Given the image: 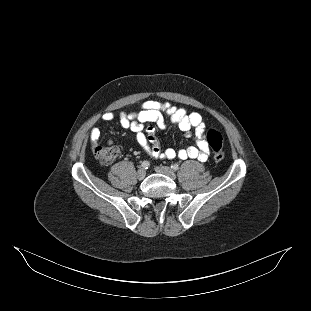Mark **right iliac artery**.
Returning <instances> with one entry per match:
<instances>
[{
    "label": "right iliac artery",
    "instance_id": "82829eb1",
    "mask_svg": "<svg viewBox=\"0 0 311 311\" xmlns=\"http://www.w3.org/2000/svg\"><path fill=\"white\" fill-rule=\"evenodd\" d=\"M150 166V163L148 161H143L141 164L142 169H148Z\"/></svg>",
    "mask_w": 311,
    "mask_h": 311
}]
</instances>
